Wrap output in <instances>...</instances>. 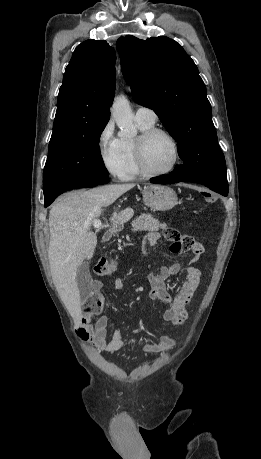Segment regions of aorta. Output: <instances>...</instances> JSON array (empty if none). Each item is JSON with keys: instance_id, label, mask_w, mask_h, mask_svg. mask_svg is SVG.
I'll list each match as a JSON object with an SVG mask.
<instances>
[{"instance_id": "1", "label": "aorta", "mask_w": 261, "mask_h": 459, "mask_svg": "<svg viewBox=\"0 0 261 459\" xmlns=\"http://www.w3.org/2000/svg\"><path fill=\"white\" fill-rule=\"evenodd\" d=\"M111 115L120 128L122 136L135 137L137 135L134 115L126 97L119 96L114 100L111 107Z\"/></svg>"}]
</instances>
